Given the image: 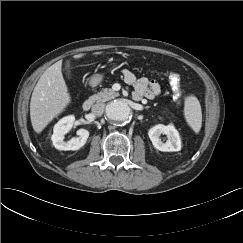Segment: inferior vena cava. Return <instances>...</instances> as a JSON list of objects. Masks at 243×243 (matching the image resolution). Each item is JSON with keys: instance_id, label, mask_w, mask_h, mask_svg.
Listing matches in <instances>:
<instances>
[{"instance_id": "inferior-vena-cava-1", "label": "inferior vena cava", "mask_w": 243, "mask_h": 243, "mask_svg": "<svg viewBox=\"0 0 243 243\" xmlns=\"http://www.w3.org/2000/svg\"><path fill=\"white\" fill-rule=\"evenodd\" d=\"M104 108H105L104 104L97 103L92 106L91 111H92L93 115L99 117V116H102V114L104 113Z\"/></svg>"}]
</instances>
